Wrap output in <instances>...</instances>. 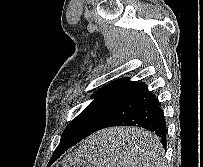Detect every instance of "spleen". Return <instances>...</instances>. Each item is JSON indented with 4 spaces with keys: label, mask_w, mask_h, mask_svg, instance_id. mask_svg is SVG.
<instances>
[{
    "label": "spleen",
    "mask_w": 203,
    "mask_h": 167,
    "mask_svg": "<svg viewBox=\"0 0 203 167\" xmlns=\"http://www.w3.org/2000/svg\"><path fill=\"white\" fill-rule=\"evenodd\" d=\"M139 167H164L163 148L159 139L151 133H146L140 140ZM112 140L104 135L96 134L88 138L80 147L79 153L91 164L97 167H127L126 162L116 160L112 153Z\"/></svg>",
    "instance_id": "spleen-1"
}]
</instances>
